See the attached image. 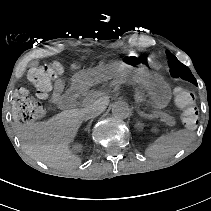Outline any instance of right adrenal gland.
<instances>
[{"mask_svg": "<svg viewBox=\"0 0 211 211\" xmlns=\"http://www.w3.org/2000/svg\"><path fill=\"white\" fill-rule=\"evenodd\" d=\"M93 122H94V120L92 119V120L90 121L89 125H88V130H90V127H91V125H92Z\"/></svg>", "mask_w": 211, "mask_h": 211, "instance_id": "right-adrenal-gland-1", "label": "right adrenal gland"}]
</instances>
